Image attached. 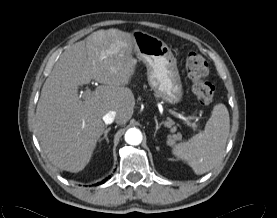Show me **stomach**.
Instances as JSON below:
<instances>
[{"label": "stomach", "mask_w": 277, "mask_h": 218, "mask_svg": "<svg viewBox=\"0 0 277 218\" xmlns=\"http://www.w3.org/2000/svg\"><path fill=\"white\" fill-rule=\"evenodd\" d=\"M134 53L147 68V79L156 97L167 104H177L183 98V86L176 58L160 38L136 30Z\"/></svg>", "instance_id": "1"}]
</instances>
